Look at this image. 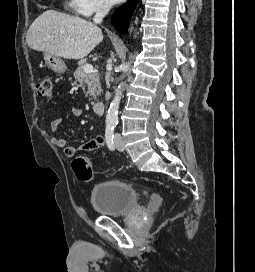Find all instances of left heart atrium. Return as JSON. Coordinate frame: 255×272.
<instances>
[{
  "label": "left heart atrium",
  "mask_w": 255,
  "mask_h": 272,
  "mask_svg": "<svg viewBox=\"0 0 255 272\" xmlns=\"http://www.w3.org/2000/svg\"><path fill=\"white\" fill-rule=\"evenodd\" d=\"M112 3H118L121 2L122 0H110Z\"/></svg>",
  "instance_id": "left-heart-atrium-1"
}]
</instances>
